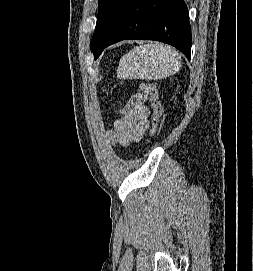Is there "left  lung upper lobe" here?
Returning <instances> with one entry per match:
<instances>
[{
    "mask_svg": "<svg viewBox=\"0 0 253 271\" xmlns=\"http://www.w3.org/2000/svg\"><path fill=\"white\" fill-rule=\"evenodd\" d=\"M129 2L130 0H99L97 23L90 45L95 58L125 14Z\"/></svg>",
    "mask_w": 253,
    "mask_h": 271,
    "instance_id": "obj_1",
    "label": "left lung upper lobe"
}]
</instances>
